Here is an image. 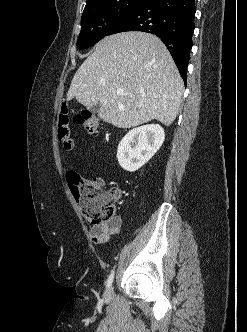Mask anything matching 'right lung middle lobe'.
Returning a JSON list of instances; mask_svg holds the SVG:
<instances>
[{
    "label": "right lung middle lobe",
    "mask_w": 247,
    "mask_h": 332,
    "mask_svg": "<svg viewBox=\"0 0 247 332\" xmlns=\"http://www.w3.org/2000/svg\"><path fill=\"white\" fill-rule=\"evenodd\" d=\"M147 0H100L84 9L82 28L77 40L78 49L90 47L107 35L123 16Z\"/></svg>",
    "instance_id": "1"
}]
</instances>
